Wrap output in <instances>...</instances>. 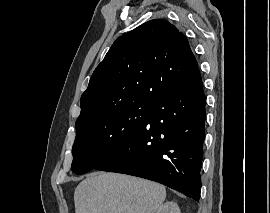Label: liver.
Segmentation results:
<instances>
[{
  "label": "liver",
  "instance_id": "obj_1",
  "mask_svg": "<svg viewBox=\"0 0 270 213\" xmlns=\"http://www.w3.org/2000/svg\"><path fill=\"white\" fill-rule=\"evenodd\" d=\"M165 198V187L155 182L95 172L75 189V213H155Z\"/></svg>",
  "mask_w": 270,
  "mask_h": 213
}]
</instances>
